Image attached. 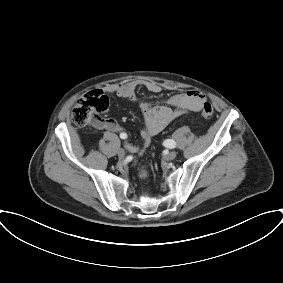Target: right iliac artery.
<instances>
[{
    "instance_id": "obj_1",
    "label": "right iliac artery",
    "mask_w": 283,
    "mask_h": 283,
    "mask_svg": "<svg viewBox=\"0 0 283 283\" xmlns=\"http://www.w3.org/2000/svg\"><path fill=\"white\" fill-rule=\"evenodd\" d=\"M120 138H121V139H126V138H127V135H126L125 133H121V134H120Z\"/></svg>"
}]
</instances>
